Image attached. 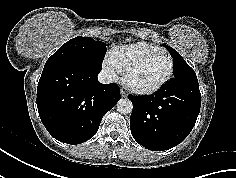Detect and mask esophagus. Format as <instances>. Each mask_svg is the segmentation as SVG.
<instances>
[{
  "label": "esophagus",
  "mask_w": 236,
  "mask_h": 178,
  "mask_svg": "<svg viewBox=\"0 0 236 178\" xmlns=\"http://www.w3.org/2000/svg\"><path fill=\"white\" fill-rule=\"evenodd\" d=\"M120 94H121L122 97H126L127 96L126 92L123 89L120 90Z\"/></svg>",
  "instance_id": "esophagus-1"
}]
</instances>
